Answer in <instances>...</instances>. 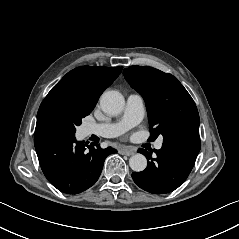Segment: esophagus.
<instances>
[{"instance_id":"esophagus-1","label":"esophagus","mask_w":239,"mask_h":239,"mask_svg":"<svg viewBox=\"0 0 239 239\" xmlns=\"http://www.w3.org/2000/svg\"><path fill=\"white\" fill-rule=\"evenodd\" d=\"M120 153L123 154V155H126V156H131V155L134 154V151H132V150H123Z\"/></svg>"}]
</instances>
